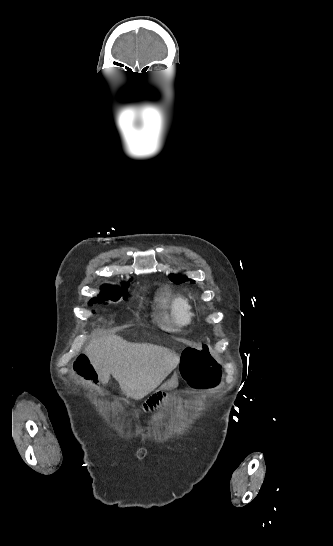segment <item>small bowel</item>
Here are the masks:
<instances>
[{
  "label": "small bowel",
  "instance_id": "c3829d8e",
  "mask_svg": "<svg viewBox=\"0 0 333 546\" xmlns=\"http://www.w3.org/2000/svg\"><path fill=\"white\" fill-rule=\"evenodd\" d=\"M175 378L176 377L173 375L171 377V379L165 380L164 381V386L168 387V388H171V389L176 388L178 383H177V380ZM156 390L158 392H160L162 389L160 387H158Z\"/></svg>",
  "mask_w": 333,
  "mask_h": 546
}]
</instances>
